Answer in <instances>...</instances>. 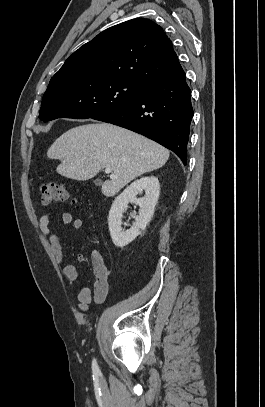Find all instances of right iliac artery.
I'll return each mask as SVG.
<instances>
[{
	"label": "right iliac artery",
	"mask_w": 265,
	"mask_h": 407,
	"mask_svg": "<svg viewBox=\"0 0 265 407\" xmlns=\"http://www.w3.org/2000/svg\"><path fill=\"white\" fill-rule=\"evenodd\" d=\"M92 369H93L94 372H98V371H99V368H98V365H97V362H96L95 359H94L93 362H92Z\"/></svg>",
	"instance_id": "82829eb1"
}]
</instances>
